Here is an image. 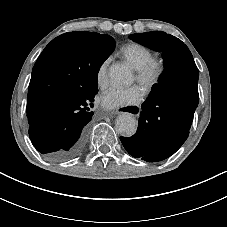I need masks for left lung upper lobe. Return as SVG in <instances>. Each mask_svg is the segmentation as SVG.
<instances>
[{
  "mask_svg": "<svg viewBox=\"0 0 227 227\" xmlns=\"http://www.w3.org/2000/svg\"><path fill=\"white\" fill-rule=\"evenodd\" d=\"M130 38L152 50L161 52L164 59V72L159 82L169 74L174 68L178 67L181 59L193 60V56L188 47L176 37L160 31H152L141 34H133ZM155 86L150 93H153Z\"/></svg>",
  "mask_w": 227,
  "mask_h": 227,
  "instance_id": "left-lung-upper-lobe-1",
  "label": "left lung upper lobe"
}]
</instances>
